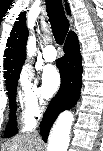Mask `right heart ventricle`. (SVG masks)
I'll return each instance as SVG.
<instances>
[{"label":"right heart ventricle","mask_w":103,"mask_h":151,"mask_svg":"<svg viewBox=\"0 0 103 151\" xmlns=\"http://www.w3.org/2000/svg\"><path fill=\"white\" fill-rule=\"evenodd\" d=\"M21 124L24 130H30L34 126V119L27 117L25 114L21 117Z\"/></svg>","instance_id":"1"}]
</instances>
